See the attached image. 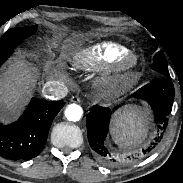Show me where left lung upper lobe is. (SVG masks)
Returning <instances> with one entry per match:
<instances>
[{"label": "left lung upper lobe", "instance_id": "1", "mask_svg": "<svg viewBox=\"0 0 183 183\" xmlns=\"http://www.w3.org/2000/svg\"><path fill=\"white\" fill-rule=\"evenodd\" d=\"M152 69L165 75L169 76L167 61L162 51L155 54L153 58Z\"/></svg>", "mask_w": 183, "mask_h": 183}]
</instances>
